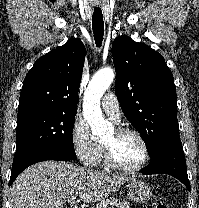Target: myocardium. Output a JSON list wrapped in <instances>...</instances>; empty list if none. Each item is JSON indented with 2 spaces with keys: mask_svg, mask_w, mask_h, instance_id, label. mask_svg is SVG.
Masks as SVG:
<instances>
[{
  "mask_svg": "<svg viewBox=\"0 0 199 208\" xmlns=\"http://www.w3.org/2000/svg\"><path fill=\"white\" fill-rule=\"evenodd\" d=\"M115 133L117 135H133L134 137H136L143 147L144 158L142 159V161L138 165H136L134 167H126V166L120 164L116 160V158L114 157L113 152L109 146H107L106 144H102L105 164L115 170H118V171H121L124 173H136V172L140 171L141 169H143L150 161V149H149L148 143L145 140V138L143 137V135L140 132H138L137 130L132 129V128H128V127L116 128Z\"/></svg>",
  "mask_w": 199,
  "mask_h": 208,
  "instance_id": "f54148a6",
  "label": "myocardium"
}]
</instances>
